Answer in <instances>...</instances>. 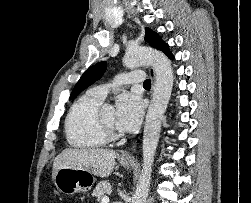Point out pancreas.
Instances as JSON below:
<instances>
[{
	"instance_id": "1",
	"label": "pancreas",
	"mask_w": 251,
	"mask_h": 203,
	"mask_svg": "<svg viewBox=\"0 0 251 203\" xmlns=\"http://www.w3.org/2000/svg\"><path fill=\"white\" fill-rule=\"evenodd\" d=\"M111 186L108 181H101L97 184L96 188L93 190V196L97 198L100 202L106 194L110 193Z\"/></svg>"
}]
</instances>
